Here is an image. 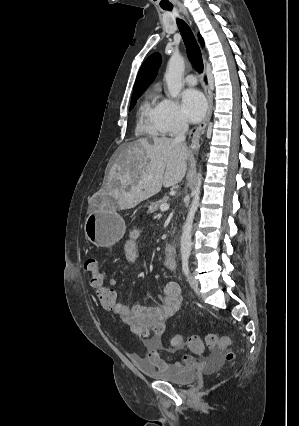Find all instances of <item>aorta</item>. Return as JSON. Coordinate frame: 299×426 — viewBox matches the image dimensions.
<instances>
[{"instance_id":"obj_1","label":"aorta","mask_w":299,"mask_h":426,"mask_svg":"<svg viewBox=\"0 0 299 426\" xmlns=\"http://www.w3.org/2000/svg\"><path fill=\"white\" fill-rule=\"evenodd\" d=\"M185 69L184 58L178 54L174 53L167 65L165 80L167 83L169 94L172 98L178 99L181 93V90L184 86L182 77ZM202 185V173L199 170L197 174V183L196 187L193 190V200L190 205V209L186 218V221L183 226L182 236H181V259L182 262H187L191 252V233L193 220L196 214V211L200 202V190Z\"/></svg>"}]
</instances>
